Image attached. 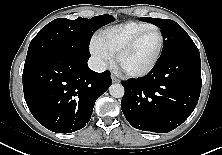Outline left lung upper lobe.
<instances>
[{"mask_svg": "<svg viewBox=\"0 0 222 155\" xmlns=\"http://www.w3.org/2000/svg\"><path fill=\"white\" fill-rule=\"evenodd\" d=\"M140 19L142 21L152 22L161 28L164 42L159 59L177 53H199L192 39L178 23L172 20L150 17H141Z\"/></svg>", "mask_w": 222, "mask_h": 155, "instance_id": "5c2ea615", "label": "left lung upper lobe"}]
</instances>
